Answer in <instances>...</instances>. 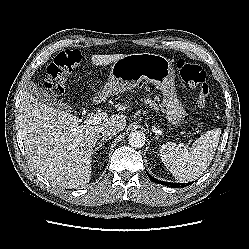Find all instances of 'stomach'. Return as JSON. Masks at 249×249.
Instances as JSON below:
<instances>
[{"instance_id":"stomach-1","label":"stomach","mask_w":249,"mask_h":249,"mask_svg":"<svg viewBox=\"0 0 249 249\" xmlns=\"http://www.w3.org/2000/svg\"><path fill=\"white\" fill-rule=\"evenodd\" d=\"M146 80L163 94V113L170 128L179 127L185 110L175 92V70L169 59L159 54H129L117 59L111 66L109 79L101 89L112 94L131 90ZM104 96V95H103Z\"/></svg>"}]
</instances>
